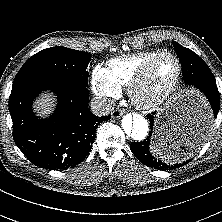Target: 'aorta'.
<instances>
[{"instance_id": "1", "label": "aorta", "mask_w": 222, "mask_h": 222, "mask_svg": "<svg viewBox=\"0 0 222 222\" xmlns=\"http://www.w3.org/2000/svg\"><path fill=\"white\" fill-rule=\"evenodd\" d=\"M121 124L124 136L131 141L141 142L148 135L149 124L141 114H127L123 117Z\"/></svg>"}]
</instances>
